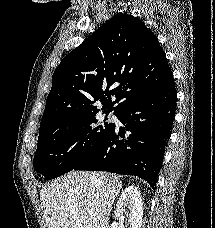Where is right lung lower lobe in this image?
I'll list each match as a JSON object with an SVG mask.
<instances>
[{
  "label": "right lung lower lobe",
  "mask_w": 215,
  "mask_h": 228,
  "mask_svg": "<svg viewBox=\"0 0 215 228\" xmlns=\"http://www.w3.org/2000/svg\"><path fill=\"white\" fill-rule=\"evenodd\" d=\"M176 95L173 75L141 85L135 98L115 113L125 128L115 126L73 170L135 175L156 189L172 131ZM126 131L130 132L127 136Z\"/></svg>",
  "instance_id": "right-lung-lower-lobe-1"
}]
</instances>
